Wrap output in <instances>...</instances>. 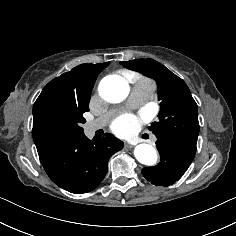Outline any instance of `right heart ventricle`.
Masks as SVG:
<instances>
[{"mask_svg":"<svg viewBox=\"0 0 236 236\" xmlns=\"http://www.w3.org/2000/svg\"><path fill=\"white\" fill-rule=\"evenodd\" d=\"M135 84H138V85H149V86L153 87L152 81L150 79H148L146 77H142V76H139V77L136 78Z\"/></svg>","mask_w":236,"mask_h":236,"instance_id":"right-heart-ventricle-1","label":"right heart ventricle"}]
</instances>
